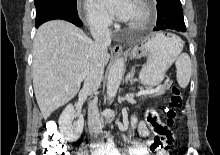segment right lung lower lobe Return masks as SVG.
I'll list each match as a JSON object with an SVG mask.
<instances>
[{
  "mask_svg": "<svg viewBox=\"0 0 220 155\" xmlns=\"http://www.w3.org/2000/svg\"><path fill=\"white\" fill-rule=\"evenodd\" d=\"M54 19L66 20V21H69L75 24L76 26L83 25L82 21L78 17L77 11L73 12V11H68V10H63V9L52 10V11H49V12H46L44 14L37 16L35 19V25L38 28L44 22H47L49 20H54Z\"/></svg>",
  "mask_w": 220,
  "mask_h": 155,
  "instance_id": "98d812e1",
  "label": "right lung lower lobe"
}]
</instances>
